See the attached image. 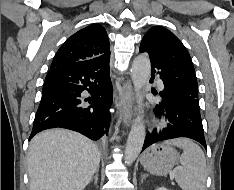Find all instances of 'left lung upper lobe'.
Instances as JSON below:
<instances>
[{
    "label": "left lung upper lobe",
    "mask_w": 234,
    "mask_h": 190,
    "mask_svg": "<svg viewBox=\"0 0 234 190\" xmlns=\"http://www.w3.org/2000/svg\"><path fill=\"white\" fill-rule=\"evenodd\" d=\"M163 67L168 87L199 107L198 86L190 55L181 41L164 27L154 26L144 35L140 49Z\"/></svg>",
    "instance_id": "obj_1"
}]
</instances>
